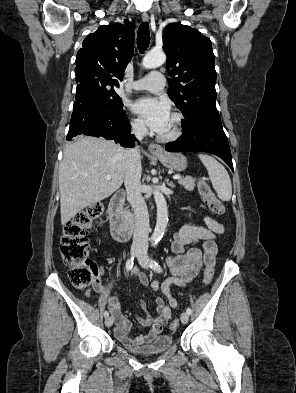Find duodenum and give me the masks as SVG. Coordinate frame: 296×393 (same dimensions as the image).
Here are the masks:
<instances>
[{
    "label": "duodenum",
    "mask_w": 296,
    "mask_h": 393,
    "mask_svg": "<svg viewBox=\"0 0 296 393\" xmlns=\"http://www.w3.org/2000/svg\"><path fill=\"white\" fill-rule=\"evenodd\" d=\"M125 196V191L119 190L112 196L109 204L111 233L114 239L118 242H125L129 240L133 232L132 225L126 219L123 211Z\"/></svg>",
    "instance_id": "1"
}]
</instances>
